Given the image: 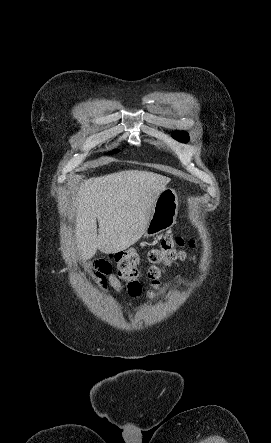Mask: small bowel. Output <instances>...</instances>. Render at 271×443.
<instances>
[{
  "instance_id": "c3829d8e",
  "label": "small bowel",
  "mask_w": 271,
  "mask_h": 443,
  "mask_svg": "<svg viewBox=\"0 0 271 443\" xmlns=\"http://www.w3.org/2000/svg\"><path fill=\"white\" fill-rule=\"evenodd\" d=\"M89 275L93 278L100 290H105L106 284L116 291H121V284L119 280L111 274V267L109 263L104 260L93 262L88 269Z\"/></svg>"
}]
</instances>
